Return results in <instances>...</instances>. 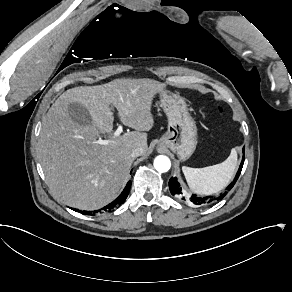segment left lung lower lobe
<instances>
[{"label":"left lung lower lobe","mask_w":292,"mask_h":292,"mask_svg":"<svg viewBox=\"0 0 292 292\" xmlns=\"http://www.w3.org/2000/svg\"><path fill=\"white\" fill-rule=\"evenodd\" d=\"M244 152V151H243ZM243 163H244V156L242 159V162L240 164L239 170L233 180V182H231V184L225 189V191L221 194H219L218 196H206V197H198L195 194H193L191 197H187L183 194L182 188L180 187V184L177 181L176 177H171L169 180V189L170 192L173 196H176L177 198L183 200V201H191L193 202L195 205H208L210 203L215 202L216 200L219 201L221 199H223L227 193L233 188V186L235 185L237 179L239 178V175L241 173L242 167H243Z\"/></svg>","instance_id":"1"}]
</instances>
